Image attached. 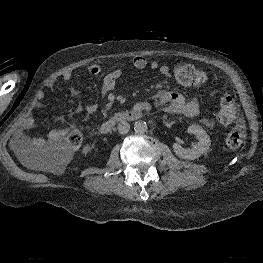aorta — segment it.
I'll return each mask as SVG.
<instances>
[{
  "instance_id": "aorta-1",
  "label": "aorta",
  "mask_w": 263,
  "mask_h": 263,
  "mask_svg": "<svg viewBox=\"0 0 263 263\" xmlns=\"http://www.w3.org/2000/svg\"><path fill=\"white\" fill-rule=\"evenodd\" d=\"M148 129L147 123L143 120H138L134 123V131L136 133H144Z\"/></svg>"
}]
</instances>
